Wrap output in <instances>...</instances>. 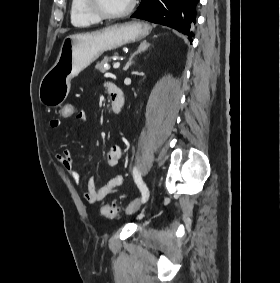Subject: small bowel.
<instances>
[{
	"label": "small bowel",
	"instance_id": "obj_1",
	"mask_svg": "<svg viewBox=\"0 0 280 283\" xmlns=\"http://www.w3.org/2000/svg\"><path fill=\"white\" fill-rule=\"evenodd\" d=\"M78 122L85 123L87 121V115L84 111L76 112V116H73ZM50 127L53 129L59 128L61 120L59 118H52L49 122ZM122 157V149L119 145L111 146L108 155L107 162L110 166H115ZM56 159L60 162L66 172L75 181L79 182L80 176L76 170L74 159L71 152L67 149L56 154ZM123 177L117 175L109 180L103 186H98L94 177H90L87 181V188L83 193L85 200L91 204L102 201L108 195L117 191V188L122 184Z\"/></svg>",
	"mask_w": 280,
	"mask_h": 283
}]
</instances>
